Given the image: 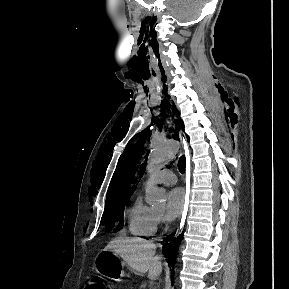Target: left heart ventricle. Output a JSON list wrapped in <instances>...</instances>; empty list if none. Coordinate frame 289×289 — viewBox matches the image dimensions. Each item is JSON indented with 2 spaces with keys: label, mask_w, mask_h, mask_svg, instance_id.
Listing matches in <instances>:
<instances>
[{
  "label": "left heart ventricle",
  "mask_w": 289,
  "mask_h": 289,
  "mask_svg": "<svg viewBox=\"0 0 289 289\" xmlns=\"http://www.w3.org/2000/svg\"><path fill=\"white\" fill-rule=\"evenodd\" d=\"M154 211L158 214H161L163 211V207L161 206V207L154 208Z\"/></svg>",
  "instance_id": "obj_1"
}]
</instances>
